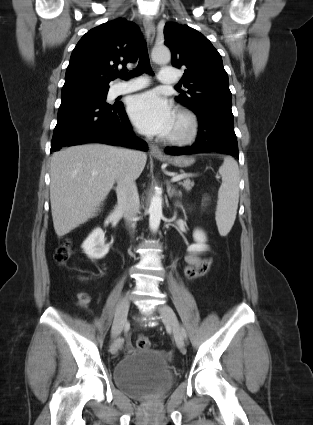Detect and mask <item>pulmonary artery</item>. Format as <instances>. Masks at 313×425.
Returning <instances> with one entry per match:
<instances>
[{"mask_svg":"<svg viewBox=\"0 0 313 425\" xmlns=\"http://www.w3.org/2000/svg\"><path fill=\"white\" fill-rule=\"evenodd\" d=\"M158 80L162 84H174L177 81V72L170 67H164L159 72ZM148 85V81L144 77H138L125 83L113 85V95H121L142 89Z\"/></svg>","mask_w":313,"mask_h":425,"instance_id":"1","label":"pulmonary artery"}]
</instances>
